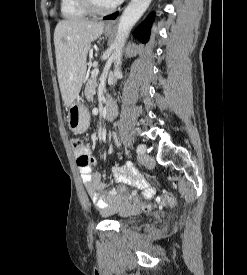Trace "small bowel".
<instances>
[{
	"label": "small bowel",
	"mask_w": 247,
	"mask_h": 275,
	"mask_svg": "<svg viewBox=\"0 0 247 275\" xmlns=\"http://www.w3.org/2000/svg\"><path fill=\"white\" fill-rule=\"evenodd\" d=\"M77 165L86 186L88 195L95 207L104 214L109 213H129L137 210V206L121 197L114 188L108 187L99 173L94 172L96 160L91 156L90 149L84 147L82 152H77ZM86 157V161H81V156ZM113 179L123 186L136 187L143 190V195L151 199L154 190L139 175L135 167L131 164L116 166L112 170Z\"/></svg>",
	"instance_id": "small-bowel-1"
}]
</instances>
